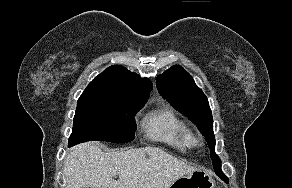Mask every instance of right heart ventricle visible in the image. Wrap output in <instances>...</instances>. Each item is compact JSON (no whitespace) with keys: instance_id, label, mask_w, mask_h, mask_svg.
Masks as SVG:
<instances>
[{"instance_id":"right-heart-ventricle-1","label":"right heart ventricle","mask_w":292,"mask_h":188,"mask_svg":"<svg viewBox=\"0 0 292 188\" xmlns=\"http://www.w3.org/2000/svg\"><path fill=\"white\" fill-rule=\"evenodd\" d=\"M143 127L149 138L164 142L181 152H187L195 146L194 133L169 107L150 112L143 121Z\"/></svg>"}]
</instances>
